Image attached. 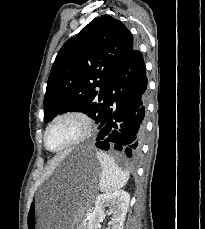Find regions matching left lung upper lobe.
I'll list each match as a JSON object with an SVG mask.
<instances>
[{
	"mask_svg": "<svg viewBox=\"0 0 205 229\" xmlns=\"http://www.w3.org/2000/svg\"><path fill=\"white\" fill-rule=\"evenodd\" d=\"M133 47L132 33L109 15L93 19L66 41L47 82L44 122L59 113L79 111L99 124L109 99L108 90Z\"/></svg>",
	"mask_w": 205,
	"mask_h": 229,
	"instance_id": "5c2ea615",
	"label": "left lung upper lobe"
}]
</instances>
